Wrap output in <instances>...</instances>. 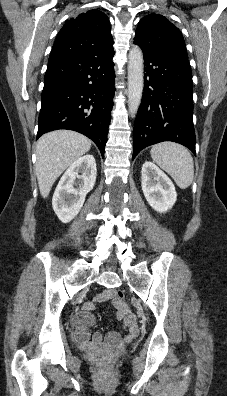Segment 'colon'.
Returning a JSON list of instances; mask_svg holds the SVG:
<instances>
[{
    "label": "colon",
    "instance_id": "1",
    "mask_svg": "<svg viewBox=\"0 0 227 396\" xmlns=\"http://www.w3.org/2000/svg\"><path fill=\"white\" fill-rule=\"evenodd\" d=\"M117 299L118 300H123L124 299V294L121 291L117 292Z\"/></svg>",
    "mask_w": 227,
    "mask_h": 396
}]
</instances>
